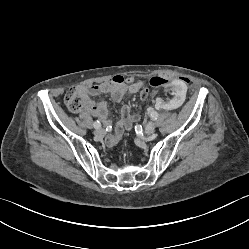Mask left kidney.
Returning <instances> with one entry per match:
<instances>
[{
	"mask_svg": "<svg viewBox=\"0 0 249 249\" xmlns=\"http://www.w3.org/2000/svg\"><path fill=\"white\" fill-rule=\"evenodd\" d=\"M166 94H159L156 97V106L159 110L168 112L174 107H181L186 102L188 94L187 84L180 78H173L164 85Z\"/></svg>",
	"mask_w": 249,
	"mask_h": 249,
	"instance_id": "obj_1",
	"label": "left kidney"
}]
</instances>
